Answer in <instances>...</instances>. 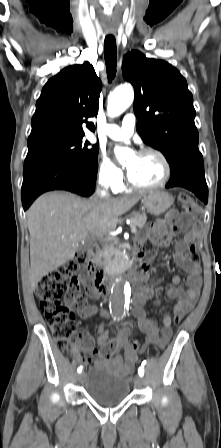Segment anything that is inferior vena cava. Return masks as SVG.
Segmentation results:
<instances>
[{
  "label": "inferior vena cava",
  "mask_w": 221,
  "mask_h": 448,
  "mask_svg": "<svg viewBox=\"0 0 221 448\" xmlns=\"http://www.w3.org/2000/svg\"><path fill=\"white\" fill-rule=\"evenodd\" d=\"M97 196L101 198H109V193L105 189H97Z\"/></svg>",
  "instance_id": "obj_1"
}]
</instances>
